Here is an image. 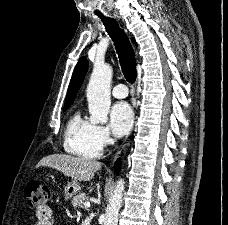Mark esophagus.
Listing matches in <instances>:
<instances>
[{"mask_svg":"<svg viewBox=\"0 0 228 225\" xmlns=\"http://www.w3.org/2000/svg\"><path fill=\"white\" fill-rule=\"evenodd\" d=\"M126 146H127V143H125V144L122 146V148H121V150L119 151V153H121V151H124L125 148H126Z\"/></svg>","mask_w":228,"mask_h":225,"instance_id":"34e87169","label":"esophagus"}]
</instances>
